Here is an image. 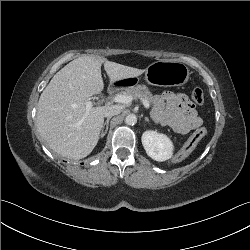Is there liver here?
Masks as SVG:
<instances>
[{
	"mask_svg": "<svg viewBox=\"0 0 250 250\" xmlns=\"http://www.w3.org/2000/svg\"><path fill=\"white\" fill-rule=\"evenodd\" d=\"M102 64L110 84L145 71L100 56H81L58 71L39 98L38 131L50 148L64 157L82 159L99 140L108 106L92 107L87 113L85 103L104 89Z\"/></svg>",
	"mask_w": 250,
	"mask_h": 250,
	"instance_id": "6515ba94",
	"label": "liver"
}]
</instances>
